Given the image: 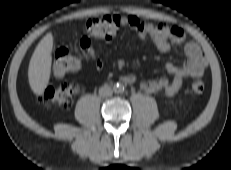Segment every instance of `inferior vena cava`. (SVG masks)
Masks as SVG:
<instances>
[{"label": "inferior vena cava", "instance_id": "1", "mask_svg": "<svg viewBox=\"0 0 231 170\" xmlns=\"http://www.w3.org/2000/svg\"><path fill=\"white\" fill-rule=\"evenodd\" d=\"M113 94L111 87L105 85L99 89V95L102 97H110Z\"/></svg>", "mask_w": 231, "mask_h": 170}]
</instances>
